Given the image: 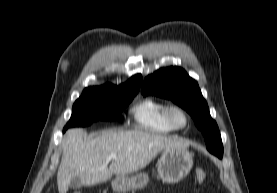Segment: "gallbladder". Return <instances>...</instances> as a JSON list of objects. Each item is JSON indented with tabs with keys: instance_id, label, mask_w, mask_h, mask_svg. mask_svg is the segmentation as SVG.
I'll list each match as a JSON object with an SVG mask.
<instances>
[{
	"instance_id": "obj_1",
	"label": "gallbladder",
	"mask_w": 277,
	"mask_h": 193,
	"mask_svg": "<svg viewBox=\"0 0 277 193\" xmlns=\"http://www.w3.org/2000/svg\"><path fill=\"white\" fill-rule=\"evenodd\" d=\"M82 186L81 180L79 177H75L70 182V188L72 189H78Z\"/></svg>"
}]
</instances>
